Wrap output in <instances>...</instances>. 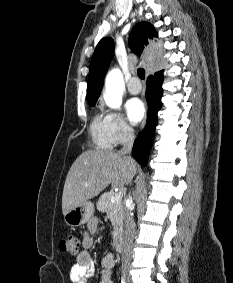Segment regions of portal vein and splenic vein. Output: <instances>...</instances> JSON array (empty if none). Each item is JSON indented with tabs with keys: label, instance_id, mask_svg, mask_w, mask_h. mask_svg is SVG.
<instances>
[{
	"label": "portal vein and splenic vein",
	"instance_id": "18ae733b",
	"mask_svg": "<svg viewBox=\"0 0 233 283\" xmlns=\"http://www.w3.org/2000/svg\"><path fill=\"white\" fill-rule=\"evenodd\" d=\"M122 196H123L122 192L116 193L115 195H113V196L111 197V202L120 201V200L122 199Z\"/></svg>",
	"mask_w": 233,
	"mask_h": 283
}]
</instances>
